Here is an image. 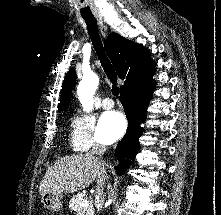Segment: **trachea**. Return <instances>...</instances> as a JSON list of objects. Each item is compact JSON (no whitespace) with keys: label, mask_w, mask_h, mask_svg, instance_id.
<instances>
[{"label":"trachea","mask_w":221,"mask_h":215,"mask_svg":"<svg viewBox=\"0 0 221 215\" xmlns=\"http://www.w3.org/2000/svg\"><path fill=\"white\" fill-rule=\"evenodd\" d=\"M86 25H87V29H88V33L90 35L92 44L94 46V49L99 57L100 63L105 71V73L107 74L108 78L111 80L112 82V93L115 96L119 95V87L116 85L117 82V75L116 72L110 62V60L108 59L103 45H102V41L98 32V26H97V21L96 19H86L84 18Z\"/></svg>","instance_id":"1"}]
</instances>
